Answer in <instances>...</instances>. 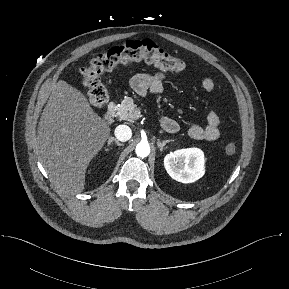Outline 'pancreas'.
Listing matches in <instances>:
<instances>
[{"instance_id":"pancreas-1","label":"pancreas","mask_w":289,"mask_h":289,"mask_svg":"<svg viewBox=\"0 0 289 289\" xmlns=\"http://www.w3.org/2000/svg\"><path fill=\"white\" fill-rule=\"evenodd\" d=\"M116 116L120 120H127L129 122H133L140 117V110L134 104L133 99L127 97L123 99L118 106Z\"/></svg>"}]
</instances>
